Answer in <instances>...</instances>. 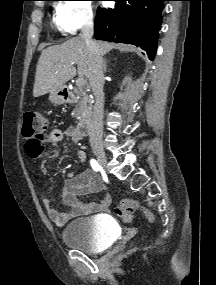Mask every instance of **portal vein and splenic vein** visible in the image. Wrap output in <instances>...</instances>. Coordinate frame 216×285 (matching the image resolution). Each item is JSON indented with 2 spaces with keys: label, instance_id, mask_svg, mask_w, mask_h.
Returning a JSON list of instances; mask_svg holds the SVG:
<instances>
[{
  "label": "portal vein and splenic vein",
  "instance_id": "1",
  "mask_svg": "<svg viewBox=\"0 0 216 285\" xmlns=\"http://www.w3.org/2000/svg\"><path fill=\"white\" fill-rule=\"evenodd\" d=\"M85 84V79L83 76L78 77V79L76 80V85L79 87L84 86Z\"/></svg>",
  "mask_w": 216,
  "mask_h": 285
}]
</instances>
